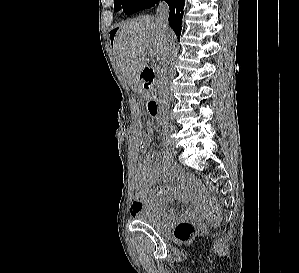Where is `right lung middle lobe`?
Returning <instances> with one entry per match:
<instances>
[{
  "label": "right lung middle lobe",
  "mask_w": 299,
  "mask_h": 273,
  "mask_svg": "<svg viewBox=\"0 0 299 273\" xmlns=\"http://www.w3.org/2000/svg\"><path fill=\"white\" fill-rule=\"evenodd\" d=\"M137 0H115L114 11L123 9L126 12Z\"/></svg>",
  "instance_id": "obj_1"
}]
</instances>
